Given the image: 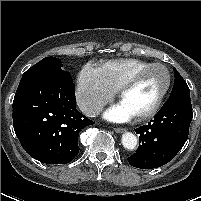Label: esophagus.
Returning <instances> with one entry per match:
<instances>
[{
  "mask_svg": "<svg viewBox=\"0 0 201 201\" xmlns=\"http://www.w3.org/2000/svg\"><path fill=\"white\" fill-rule=\"evenodd\" d=\"M114 131H115L116 133H123V132L126 131V129H125V128H114Z\"/></svg>",
  "mask_w": 201,
  "mask_h": 201,
  "instance_id": "1",
  "label": "esophagus"
}]
</instances>
